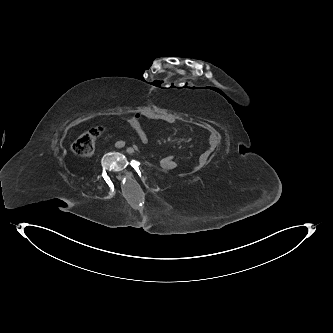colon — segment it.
I'll return each mask as SVG.
<instances>
[{"label":"colon","instance_id":"colon-1","mask_svg":"<svg viewBox=\"0 0 333 333\" xmlns=\"http://www.w3.org/2000/svg\"><path fill=\"white\" fill-rule=\"evenodd\" d=\"M102 129L94 127L79 136L72 144V152L78 157H89L94 152L96 140L101 135ZM172 162L171 156H166L165 159L160 160L161 166H166L167 163Z\"/></svg>","mask_w":333,"mask_h":333}]
</instances>
